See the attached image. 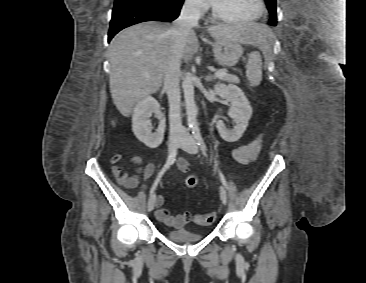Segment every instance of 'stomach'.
Instances as JSON below:
<instances>
[{
  "label": "stomach",
  "instance_id": "stomach-1",
  "mask_svg": "<svg viewBox=\"0 0 366 283\" xmlns=\"http://www.w3.org/2000/svg\"><path fill=\"white\" fill-rule=\"evenodd\" d=\"M213 52L218 64L228 67L241 57L243 48L239 41L217 38L213 43Z\"/></svg>",
  "mask_w": 366,
  "mask_h": 283
}]
</instances>
